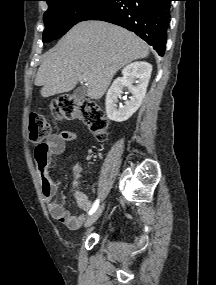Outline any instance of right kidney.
<instances>
[{
  "label": "right kidney",
  "instance_id": "1",
  "mask_svg": "<svg viewBox=\"0 0 216 285\" xmlns=\"http://www.w3.org/2000/svg\"><path fill=\"white\" fill-rule=\"evenodd\" d=\"M151 72L152 65L144 61L133 62L122 70V77L113 82L106 94V113L110 120L126 121L138 110L145 97ZM134 83L136 85H133ZM124 86L128 87L132 96L129 97L130 100L125 101V105L117 108Z\"/></svg>",
  "mask_w": 216,
  "mask_h": 285
}]
</instances>
